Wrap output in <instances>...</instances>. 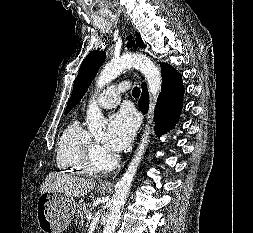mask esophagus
<instances>
[{
  "label": "esophagus",
  "instance_id": "esophagus-1",
  "mask_svg": "<svg viewBox=\"0 0 253 233\" xmlns=\"http://www.w3.org/2000/svg\"><path fill=\"white\" fill-rule=\"evenodd\" d=\"M100 185L110 187V186H112V183L108 180H103L100 182Z\"/></svg>",
  "mask_w": 253,
  "mask_h": 233
}]
</instances>
